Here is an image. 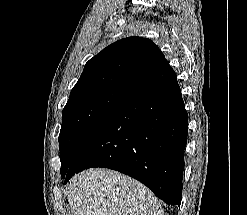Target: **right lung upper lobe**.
<instances>
[{
    "label": "right lung upper lobe",
    "instance_id": "right-lung-upper-lobe-1",
    "mask_svg": "<svg viewBox=\"0 0 247 215\" xmlns=\"http://www.w3.org/2000/svg\"><path fill=\"white\" fill-rule=\"evenodd\" d=\"M165 56L151 40L128 37L119 40L90 59L71 92L87 89H133L165 62Z\"/></svg>",
    "mask_w": 247,
    "mask_h": 215
}]
</instances>
